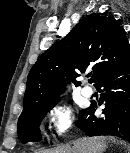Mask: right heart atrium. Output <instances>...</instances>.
<instances>
[{
  "mask_svg": "<svg viewBox=\"0 0 130 153\" xmlns=\"http://www.w3.org/2000/svg\"><path fill=\"white\" fill-rule=\"evenodd\" d=\"M74 120V111L66 103H57L49 110V124L55 137L64 136L72 127Z\"/></svg>",
  "mask_w": 130,
  "mask_h": 153,
  "instance_id": "obj_1",
  "label": "right heart atrium"
}]
</instances>
